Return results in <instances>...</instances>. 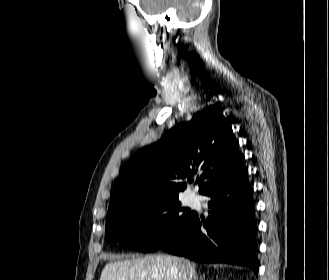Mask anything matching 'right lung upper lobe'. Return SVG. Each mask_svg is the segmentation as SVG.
<instances>
[{"instance_id":"obj_1","label":"right lung upper lobe","mask_w":329,"mask_h":280,"mask_svg":"<svg viewBox=\"0 0 329 280\" xmlns=\"http://www.w3.org/2000/svg\"><path fill=\"white\" fill-rule=\"evenodd\" d=\"M238 140L225 117L212 111L197 112L142 148L124 166L108 211L148 196H178L186 182L201 173L199 192L243 163Z\"/></svg>"}]
</instances>
